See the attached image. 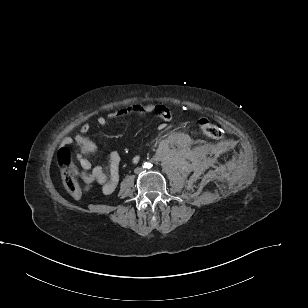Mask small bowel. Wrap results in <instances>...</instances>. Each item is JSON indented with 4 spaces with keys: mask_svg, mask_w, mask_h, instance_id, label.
Returning <instances> with one entry per match:
<instances>
[{
    "mask_svg": "<svg viewBox=\"0 0 308 308\" xmlns=\"http://www.w3.org/2000/svg\"><path fill=\"white\" fill-rule=\"evenodd\" d=\"M131 114L138 116L154 114L164 121V123L160 125V128H164L166 123L172 118L171 112L166 106L158 104H133L111 112L107 116H100L97 119V123L100 126H106L114 119ZM89 129L90 126L88 123L83 124L80 131L74 135V137H67L62 141V146L75 144L78 147L77 159L82 168L81 176L88 187L99 184L102 185L105 193L111 194L115 191L119 182L120 155L114 151L110 154L108 163L105 167L93 166L89 157L96 153L97 146L87 137ZM187 140V134L183 132H174L165 138L164 144L182 146Z\"/></svg>",
    "mask_w": 308,
    "mask_h": 308,
    "instance_id": "c3829d8e",
    "label": "small bowel"
}]
</instances>
